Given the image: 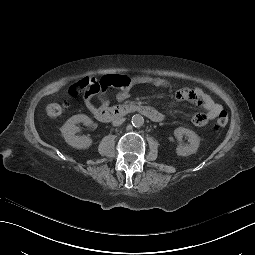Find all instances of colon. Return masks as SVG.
I'll list each match as a JSON object with an SVG mask.
<instances>
[{
  "label": "colon",
  "instance_id": "5ec220e1",
  "mask_svg": "<svg viewBox=\"0 0 255 255\" xmlns=\"http://www.w3.org/2000/svg\"><path fill=\"white\" fill-rule=\"evenodd\" d=\"M129 84V78L125 76L108 75L100 79L93 77H85L74 83H72L68 91L71 94H78L81 92L96 93L99 91H105L110 87L123 88ZM67 110L65 103H51L47 106V115L50 118L61 117ZM229 121L228 113L224 110L220 111L215 121V128H224Z\"/></svg>",
  "mask_w": 255,
  "mask_h": 255
}]
</instances>
